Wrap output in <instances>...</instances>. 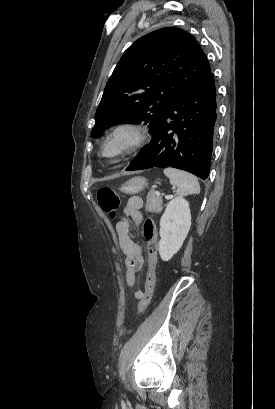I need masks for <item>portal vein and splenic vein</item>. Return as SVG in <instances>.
Instances as JSON below:
<instances>
[{"mask_svg":"<svg viewBox=\"0 0 275 409\" xmlns=\"http://www.w3.org/2000/svg\"><path fill=\"white\" fill-rule=\"evenodd\" d=\"M156 194H160V192H156ZM173 194H168V196H165V198H172Z\"/></svg>","mask_w":275,"mask_h":409,"instance_id":"portal-vein-and-splenic-vein-1","label":"portal vein and splenic vein"}]
</instances>
